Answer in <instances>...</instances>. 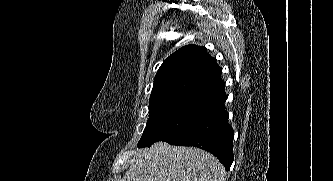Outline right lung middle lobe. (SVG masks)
Returning <instances> with one entry per match:
<instances>
[{"instance_id":"dd1d6c3e","label":"right lung middle lobe","mask_w":333,"mask_h":181,"mask_svg":"<svg viewBox=\"0 0 333 181\" xmlns=\"http://www.w3.org/2000/svg\"><path fill=\"white\" fill-rule=\"evenodd\" d=\"M207 110L166 106L149 109V119L138 142V147H149L157 141H171L181 136L197 124Z\"/></svg>"}]
</instances>
